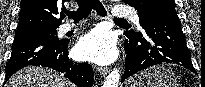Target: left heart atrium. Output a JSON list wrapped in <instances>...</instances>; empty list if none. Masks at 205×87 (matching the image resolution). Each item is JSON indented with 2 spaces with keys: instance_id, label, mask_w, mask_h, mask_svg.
Instances as JSON below:
<instances>
[{
  "instance_id": "1",
  "label": "left heart atrium",
  "mask_w": 205,
  "mask_h": 87,
  "mask_svg": "<svg viewBox=\"0 0 205 87\" xmlns=\"http://www.w3.org/2000/svg\"><path fill=\"white\" fill-rule=\"evenodd\" d=\"M75 52L81 60L109 64L117 56L116 42L110 32L95 29L81 38Z\"/></svg>"
}]
</instances>
